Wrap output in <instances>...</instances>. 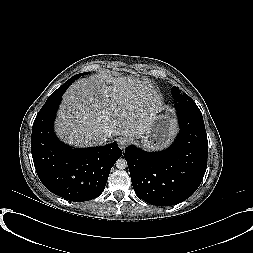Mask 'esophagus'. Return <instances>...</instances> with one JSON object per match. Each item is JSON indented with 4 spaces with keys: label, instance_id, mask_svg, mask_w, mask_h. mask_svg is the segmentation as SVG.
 I'll return each mask as SVG.
<instances>
[{
    "label": "esophagus",
    "instance_id": "34e87169",
    "mask_svg": "<svg viewBox=\"0 0 253 253\" xmlns=\"http://www.w3.org/2000/svg\"><path fill=\"white\" fill-rule=\"evenodd\" d=\"M128 142H129V138L126 137V136L119 137L118 140H117V143H118V145H119V147L121 149H125V147L127 146Z\"/></svg>",
    "mask_w": 253,
    "mask_h": 253
}]
</instances>
